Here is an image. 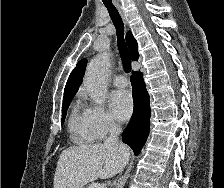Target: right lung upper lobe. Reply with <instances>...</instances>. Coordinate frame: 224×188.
Segmentation results:
<instances>
[{"label": "right lung upper lobe", "mask_w": 224, "mask_h": 188, "mask_svg": "<svg viewBox=\"0 0 224 188\" xmlns=\"http://www.w3.org/2000/svg\"><path fill=\"white\" fill-rule=\"evenodd\" d=\"M126 42L130 50L131 59L137 61L139 57L138 46L135 38L130 31L126 34ZM86 64V59L80 60L77 63L76 68L71 72L64 89L63 101L73 98V96L78 91V88L82 83Z\"/></svg>", "instance_id": "1"}]
</instances>
